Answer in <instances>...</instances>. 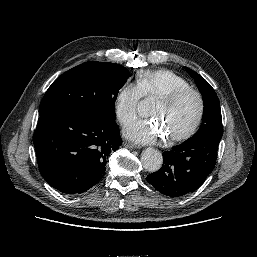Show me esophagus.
Wrapping results in <instances>:
<instances>
[{"label": "esophagus", "mask_w": 257, "mask_h": 257, "mask_svg": "<svg viewBox=\"0 0 257 257\" xmlns=\"http://www.w3.org/2000/svg\"><path fill=\"white\" fill-rule=\"evenodd\" d=\"M124 146L127 147V148H130V149H136V148H138V146H137L136 144L131 143V142H126V143L124 144Z\"/></svg>", "instance_id": "34e87169"}]
</instances>
